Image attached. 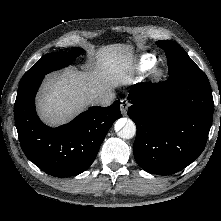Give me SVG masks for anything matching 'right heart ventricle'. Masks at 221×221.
<instances>
[{
	"label": "right heart ventricle",
	"mask_w": 221,
	"mask_h": 221,
	"mask_svg": "<svg viewBox=\"0 0 221 221\" xmlns=\"http://www.w3.org/2000/svg\"><path fill=\"white\" fill-rule=\"evenodd\" d=\"M156 64V58L151 54L142 55L137 64V70L144 72L151 69Z\"/></svg>",
	"instance_id": "1"
}]
</instances>
